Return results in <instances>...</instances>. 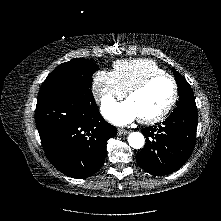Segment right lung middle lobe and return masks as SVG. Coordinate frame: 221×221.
Listing matches in <instances>:
<instances>
[{"mask_svg":"<svg viewBox=\"0 0 221 221\" xmlns=\"http://www.w3.org/2000/svg\"><path fill=\"white\" fill-rule=\"evenodd\" d=\"M99 69L93 61L72 59L59 65L44 81L38 98L62 92H71L81 88H90L92 75Z\"/></svg>","mask_w":221,"mask_h":221,"instance_id":"1","label":"right lung middle lobe"}]
</instances>
